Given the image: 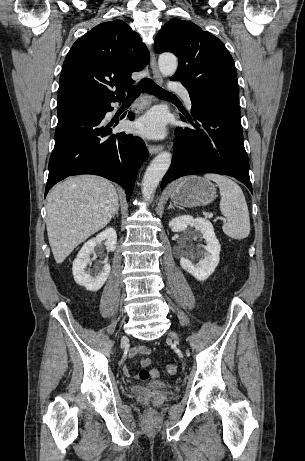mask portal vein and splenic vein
<instances>
[{
	"mask_svg": "<svg viewBox=\"0 0 305 461\" xmlns=\"http://www.w3.org/2000/svg\"><path fill=\"white\" fill-rule=\"evenodd\" d=\"M209 217H212V215H208ZM217 219H220L222 221H225L226 219L224 217H217Z\"/></svg>",
	"mask_w": 305,
	"mask_h": 461,
	"instance_id": "18ae733b",
	"label": "portal vein and splenic vein"
}]
</instances>
